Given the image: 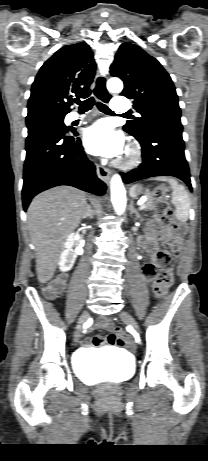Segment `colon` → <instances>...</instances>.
Here are the masks:
<instances>
[{"mask_svg":"<svg viewBox=\"0 0 208 461\" xmlns=\"http://www.w3.org/2000/svg\"><path fill=\"white\" fill-rule=\"evenodd\" d=\"M154 195L158 200H163L165 191L163 188H157L154 191ZM157 222L160 226L162 225H171L172 232L176 233V237L171 243L172 249H178L179 244V236L183 232V228L175 221L172 210L162 201V203L158 206L157 215H156ZM170 260V252L167 250L160 251L153 261L149 262L150 265H154L155 267H164L169 263ZM174 280L173 271L171 268H164L162 269L155 277L153 282V291L154 294L158 298H165L168 295L169 288L172 285ZM64 287V283L61 281L52 282L47 288L45 292L49 297H55ZM113 332L117 333V336H121V344H125L126 339L125 336L122 334L119 328H115Z\"/></svg>","mask_w":208,"mask_h":461,"instance_id":"1","label":"colon"}]
</instances>
